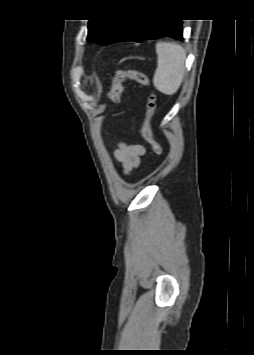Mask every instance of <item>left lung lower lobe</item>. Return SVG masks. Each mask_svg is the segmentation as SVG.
I'll use <instances>...</instances> for the list:
<instances>
[{"mask_svg":"<svg viewBox=\"0 0 254 355\" xmlns=\"http://www.w3.org/2000/svg\"><path fill=\"white\" fill-rule=\"evenodd\" d=\"M162 37L183 39L182 21L176 19H130L115 42H142Z\"/></svg>","mask_w":254,"mask_h":355,"instance_id":"1","label":"left lung lower lobe"}]
</instances>
